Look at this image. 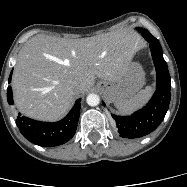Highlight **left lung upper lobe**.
Here are the masks:
<instances>
[{"label":"left lung upper lobe","mask_w":187,"mask_h":187,"mask_svg":"<svg viewBox=\"0 0 187 187\" xmlns=\"http://www.w3.org/2000/svg\"><path fill=\"white\" fill-rule=\"evenodd\" d=\"M137 30L143 35V33L147 34L149 33L147 30H144L142 28H137Z\"/></svg>","instance_id":"1"}]
</instances>
